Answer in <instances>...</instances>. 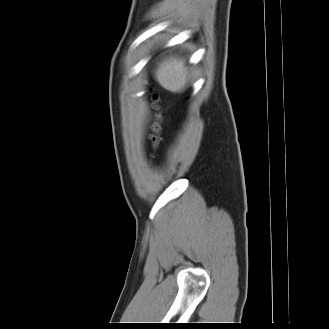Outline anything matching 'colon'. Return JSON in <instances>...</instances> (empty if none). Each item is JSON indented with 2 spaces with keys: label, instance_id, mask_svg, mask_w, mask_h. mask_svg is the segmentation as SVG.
<instances>
[{
  "label": "colon",
  "instance_id": "5ec220e1",
  "mask_svg": "<svg viewBox=\"0 0 329 329\" xmlns=\"http://www.w3.org/2000/svg\"><path fill=\"white\" fill-rule=\"evenodd\" d=\"M153 100L155 103V109L157 111V122L154 125L153 133L151 134V143H152V157H156L157 150L163 142L162 138V106L160 103V98L157 94H154Z\"/></svg>",
  "mask_w": 329,
  "mask_h": 329
}]
</instances>
